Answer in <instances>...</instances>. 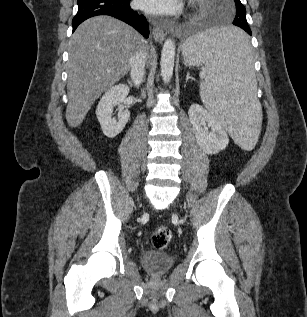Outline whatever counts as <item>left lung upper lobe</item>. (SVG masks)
Listing matches in <instances>:
<instances>
[{"mask_svg": "<svg viewBox=\"0 0 307 317\" xmlns=\"http://www.w3.org/2000/svg\"><path fill=\"white\" fill-rule=\"evenodd\" d=\"M235 6H236V16L233 21V24L238 25V26H248L247 21H246V9L241 3L240 0H234Z\"/></svg>", "mask_w": 307, "mask_h": 317, "instance_id": "5c2ea615", "label": "left lung upper lobe"}]
</instances>
